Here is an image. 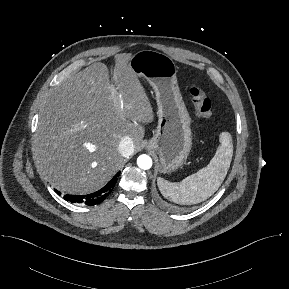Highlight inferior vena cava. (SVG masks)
<instances>
[{
	"instance_id": "inferior-vena-cava-1",
	"label": "inferior vena cava",
	"mask_w": 289,
	"mask_h": 289,
	"mask_svg": "<svg viewBox=\"0 0 289 289\" xmlns=\"http://www.w3.org/2000/svg\"><path fill=\"white\" fill-rule=\"evenodd\" d=\"M119 152L123 157H128L134 152L133 141L130 137L125 136L119 143Z\"/></svg>"
}]
</instances>
